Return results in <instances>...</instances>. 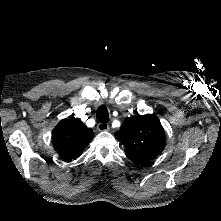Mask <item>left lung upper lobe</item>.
<instances>
[{"label": "left lung upper lobe", "instance_id": "5c2ea615", "mask_svg": "<svg viewBox=\"0 0 221 221\" xmlns=\"http://www.w3.org/2000/svg\"><path fill=\"white\" fill-rule=\"evenodd\" d=\"M115 136L122 141L126 156L137 164H148L164 149V129L150 114L126 118Z\"/></svg>", "mask_w": 221, "mask_h": 221}]
</instances>
